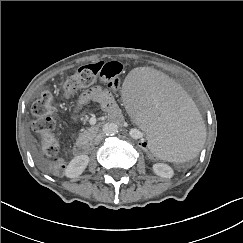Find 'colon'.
Returning a JSON list of instances; mask_svg holds the SVG:
<instances>
[{
  "instance_id": "obj_1",
  "label": "colon",
  "mask_w": 243,
  "mask_h": 243,
  "mask_svg": "<svg viewBox=\"0 0 243 243\" xmlns=\"http://www.w3.org/2000/svg\"><path fill=\"white\" fill-rule=\"evenodd\" d=\"M122 70L123 65L117 61L83 65L65 80V94L71 96L79 89L88 87L97 80H101L109 87L116 89L121 83ZM55 110L56 103L50 92H44L40 98L34 102L31 108L34 116L33 128L42 136V149L50 160V167L55 173H61L65 167L64 160L59 156V143L52 135V131L55 127L52 114ZM135 146L143 150L146 159L150 163L169 166V163L163 162L162 157L151 148L147 141H137Z\"/></svg>"
}]
</instances>
